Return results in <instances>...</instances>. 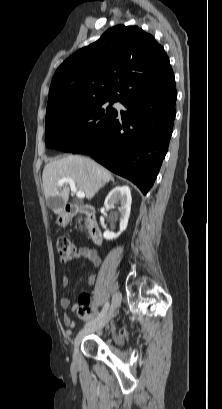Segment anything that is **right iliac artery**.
I'll return each instance as SVG.
<instances>
[{"instance_id":"obj_1","label":"right iliac artery","mask_w":222,"mask_h":409,"mask_svg":"<svg viewBox=\"0 0 222 409\" xmlns=\"http://www.w3.org/2000/svg\"><path fill=\"white\" fill-rule=\"evenodd\" d=\"M109 308V302H106L101 313L93 318L92 320H90L89 322L86 323L85 327L91 326L93 324H95L96 322H98L99 320H101L103 318V316L107 313V310Z\"/></svg>"}]
</instances>
